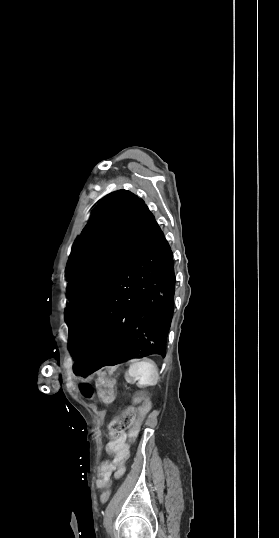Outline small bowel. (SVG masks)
I'll return each mask as SVG.
<instances>
[{
	"instance_id": "1",
	"label": "small bowel",
	"mask_w": 279,
	"mask_h": 538,
	"mask_svg": "<svg viewBox=\"0 0 279 538\" xmlns=\"http://www.w3.org/2000/svg\"><path fill=\"white\" fill-rule=\"evenodd\" d=\"M82 391H83V395L87 398H91L93 395L92 392H90L89 390H86L85 388ZM126 441H127V435L123 434L113 442V445L116 450V459L114 460V466H113L112 471L114 470L116 471L115 477H120L125 471L124 461L127 458L128 451H129V447ZM108 481H109V478L106 481H98L97 482L98 487L104 488L108 484Z\"/></svg>"
}]
</instances>
